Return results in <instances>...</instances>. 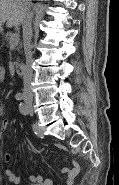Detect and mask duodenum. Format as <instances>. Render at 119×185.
<instances>
[{"label":"duodenum","mask_w":119,"mask_h":185,"mask_svg":"<svg viewBox=\"0 0 119 185\" xmlns=\"http://www.w3.org/2000/svg\"><path fill=\"white\" fill-rule=\"evenodd\" d=\"M16 71H17V74L20 77H25V75L27 74V66H26V64H24V63L18 64L17 67H16Z\"/></svg>","instance_id":"duodenum-1"}]
</instances>
